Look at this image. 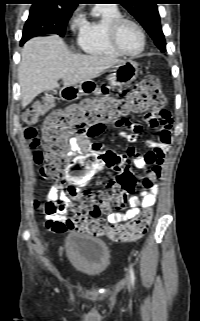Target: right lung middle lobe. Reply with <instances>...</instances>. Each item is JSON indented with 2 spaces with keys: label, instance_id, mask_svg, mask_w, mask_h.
Instances as JSON below:
<instances>
[{
  "label": "right lung middle lobe",
  "instance_id": "right-lung-middle-lobe-1",
  "mask_svg": "<svg viewBox=\"0 0 200 321\" xmlns=\"http://www.w3.org/2000/svg\"><path fill=\"white\" fill-rule=\"evenodd\" d=\"M73 11H58L42 5H32L23 29L21 45L32 37L58 34L63 37Z\"/></svg>",
  "mask_w": 200,
  "mask_h": 321
}]
</instances>
